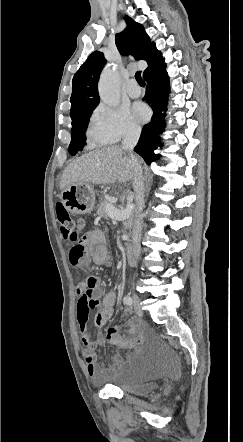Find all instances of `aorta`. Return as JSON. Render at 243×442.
Instances as JSON below:
<instances>
[{
  "label": "aorta",
  "instance_id": "obj_1",
  "mask_svg": "<svg viewBox=\"0 0 243 442\" xmlns=\"http://www.w3.org/2000/svg\"><path fill=\"white\" fill-rule=\"evenodd\" d=\"M98 91L105 104L112 107L118 106L120 103L118 73L112 69L104 70L99 79Z\"/></svg>",
  "mask_w": 243,
  "mask_h": 442
}]
</instances>
